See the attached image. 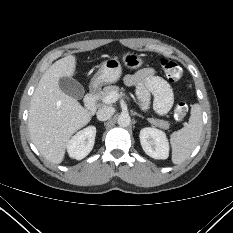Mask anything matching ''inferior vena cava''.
<instances>
[{
  "label": "inferior vena cava",
  "instance_id": "obj_1",
  "mask_svg": "<svg viewBox=\"0 0 233 233\" xmlns=\"http://www.w3.org/2000/svg\"><path fill=\"white\" fill-rule=\"evenodd\" d=\"M115 110L113 107H102L97 111V119L100 121H106L112 117Z\"/></svg>",
  "mask_w": 233,
  "mask_h": 233
}]
</instances>
